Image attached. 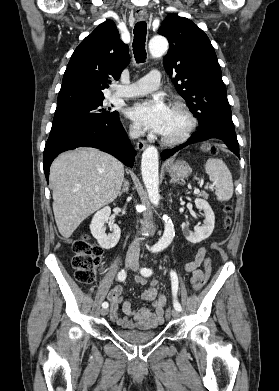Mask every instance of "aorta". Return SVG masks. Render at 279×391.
Masks as SVG:
<instances>
[{"mask_svg": "<svg viewBox=\"0 0 279 391\" xmlns=\"http://www.w3.org/2000/svg\"><path fill=\"white\" fill-rule=\"evenodd\" d=\"M168 48V41L165 37L156 36L149 42V51L153 57L162 56ZM158 150L154 146L147 147L141 160L142 179L145 184L147 194L151 203L155 206L159 205V171H158ZM165 229L163 236L154 246L156 251H161L168 247L174 238V226L167 216L164 217Z\"/></svg>", "mask_w": 279, "mask_h": 391, "instance_id": "obj_1", "label": "aorta"}]
</instances>
